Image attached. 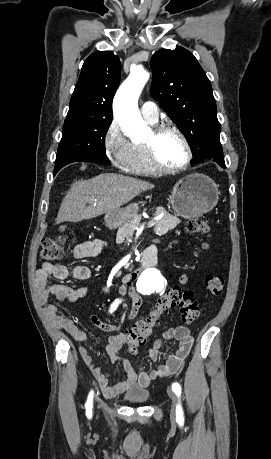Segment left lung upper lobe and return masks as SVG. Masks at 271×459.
I'll return each mask as SVG.
<instances>
[{"instance_id":"5c2ea615","label":"left lung upper lobe","mask_w":271,"mask_h":459,"mask_svg":"<svg viewBox=\"0 0 271 459\" xmlns=\"http://www.w3.org/2000/svg\"><path fill=\"white\" fill-rule=\"evenodd\" d=\"M151 69V95L187 138L192 165L221 152L212 86L193 54L180 46L161 49L152 56Z\"/></svg>"}]
</instances>
